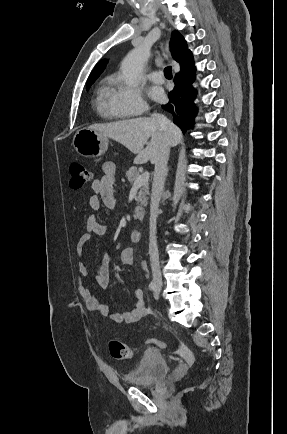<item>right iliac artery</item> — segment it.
<instances>
[{
	"instance_id": "82829eb1",
	"label": "right iliac artery",
	"mask_w": 287,
	"mask_h": 434,
	"mask_svg": "<svg viewBox=\"0 0 287 434\" xmlns=\"http://www.w3.org/2000/svg\"><path fill=\"white\" fill-rule=\"evenodd\" d=\"M155 289H156V284H155V282H151V283L149 284V290L154 291Z\"/></svg>"
}]
</instances>
